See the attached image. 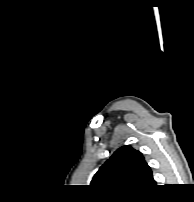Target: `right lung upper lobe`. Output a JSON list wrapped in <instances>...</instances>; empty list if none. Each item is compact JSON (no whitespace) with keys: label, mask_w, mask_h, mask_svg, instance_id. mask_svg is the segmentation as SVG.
<instances>
[{"label":"right lung upper lobe","mask_w":194,"mask_h":202,"mask_svg":"<svg viewBox=\"0 0 194 202\" xmlns=\"http://www.w3.org/2000/svg\"><path fill=\"white\" fill-rule=\"evenodd\" d=\"M91 185L113 194H133L156 186L142 153L130 146L119 148L94 175Z\"/></svg>","instance_id":"right-lung-upper-lobe-1"}]
</instances>
